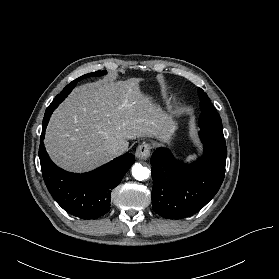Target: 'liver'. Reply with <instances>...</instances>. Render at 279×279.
<instances>
[{"instance_id": "obj_1", "label": "liver", "mask_w": 279, "mask_h": 279, "mask_svg": "<svg viewBox=\"0 0 279 279\" xmlns=\"http://www.w3.org/2000/svg\"><path fill=\"white\" fill-rule=\"evenodd\" d=\"M141 81L105 80L74 89L46 129L44 143L53 162L86 172L110 161L114 146L128 149V140L161 137L165 119L141 92Z\"/></svg>"}]
</instances>
